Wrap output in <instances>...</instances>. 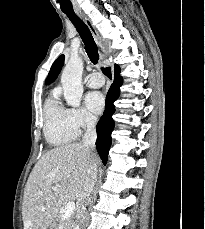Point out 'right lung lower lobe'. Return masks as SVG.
<instances>
[{
  "mask_svg": "<svg viewBox=\"0 0 205 229\" xmlns=\"http://www.w3.org/2000/svg\"><path fill=\"white\" fill-rule=\"evenodd\" d=\"M122 82L123 80L120 76V68L115 65L114 82L106 96V109L96 126V147L104 165L107 163L108 151L111 146V133L114 129V120L112 119V115L115 112V106L113 103L118 99L120 95L119 88L122 85Z\"/></svg>",
  "mask_w": 205,
  "mask_h": 229,
  "instance_id": "98d812e1",
  "label": "right lung lower lobe"
}]
</instances>
